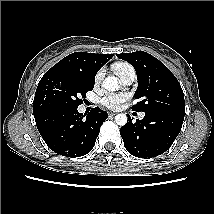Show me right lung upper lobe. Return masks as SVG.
I'll list each match as a JSON object with an SVG mask.
<instances>
[{
  "instance_id": "obj_1",
  "label": "right lung upper lobe",
  "mask_w": 214,
  "mask_h": 214,
  "mask_svg": "<svg viewBox=\"0 0 214 214\" xmlns=\"http://www.w3.org/2000/svg\"><path fill=\"white\" fill-rule=\"evenodd\" d=\"M112 57L113 54L75 52L63 58L48 71H64L95 79L98 70Z\"/></svg>"
}]
</instances>
